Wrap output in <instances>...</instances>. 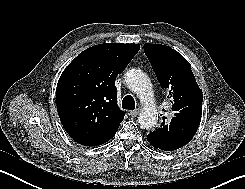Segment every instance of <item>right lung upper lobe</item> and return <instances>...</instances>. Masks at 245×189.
Wrapping results in <instances>:
<instances>
[{
    "label": "right lung upper lobe",
    "mask_w": 245,
    "mask_h": 189,
    "mask_svg": "<svg viewBox=\"0 0 245 189\" xmlns=\"http://www.w3.org/2000/svg\"><path fill=\"white\" fill-rule=\"evenodd\" d=\"M140 49L138 44L104 43L81 52L63 71L56 91L60 120L74 141L97 146L117 132L124 112L115 80Z\"/></svg>",
    "instance_id": "cb5924a9"
}]
</instances>
